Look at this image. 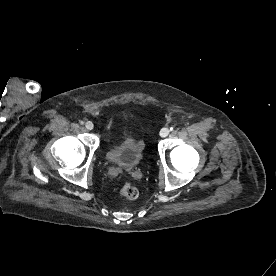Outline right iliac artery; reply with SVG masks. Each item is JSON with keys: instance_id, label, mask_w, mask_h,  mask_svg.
<instances>
[{"instance_id": "1", "label": "right iliac artery", "mask_w": 276, "mask_h": 276, "mask_svg": "<svg viewBox=\"0 0 276 276\" xmlns=\"http://www.w3.org/2000/svg\"><path fill=\"white\" fill-rule=\"evenodd\" d=\"M79 123H80L81 125H83V124H84V121H83V120H80Z\"/></svg>"}]
</instances>
